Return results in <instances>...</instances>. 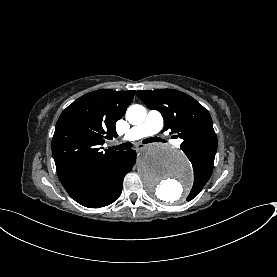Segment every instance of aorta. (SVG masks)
Segmentation results:
<instances>
[{"instance_id":"1","label":"aorta","mask_w":277,"mask_h":277,"mask_svg":"<svg viewBox=\"0 0 277 277\" xmlns=\"http://www.w3.org/2000/svg\"><path fill=\"white\" fill-rule=\"evenodd\" d=\"M146 109L139 104L127 110L132 125L144 122ZM138 175L151 197L165 203H176L189 192L193 179L187 157L168 145H148L137 162Z\"/></svg>"}]
</instances>
